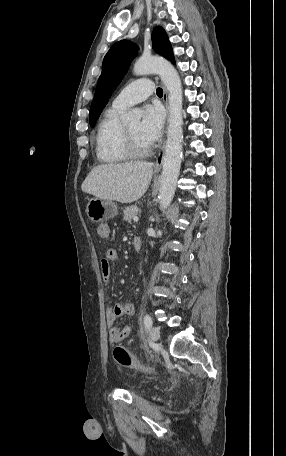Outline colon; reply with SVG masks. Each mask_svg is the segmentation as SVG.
<instances>
[{"label": "colon", "mask_w": 286, "mask_h": 456, "mask_svg": "<svg viewBox=\"0 0 286 456\" xmlns=\"http://www.w3.org/2000/svg\"><path fill=\"white\" fill-rule=\"evenodd\" d=\"M113 356L116 362L126 368L137 369L145 373H152L153 369L142 364L126 348L117 346L113 350Z\"/></svg>", "instance_id": "1"}]
</instances>
